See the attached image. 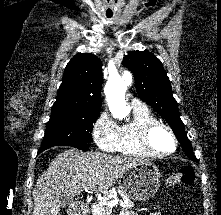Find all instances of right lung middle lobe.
I'll return each mask as SVG.
<instances>
[{
  "instance_id": "dd1d6c3e",
  "label": "right lung middle lobe",
  "mask_w": 221,
  "mask_h": 215,
  "mask_svg": "<svg viewBox=\"0 0 221 215\" xmlns=\"http://www.w3.org/2000/svg\"><path fill=\"white\" fill-rule=\"evenodd\" d=\"M98 116L99 112L76 110L51 113L42 147L92 142L93 123Z\"/></svg>"
}]
</instances>
